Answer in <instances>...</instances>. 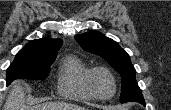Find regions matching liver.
<instances>
[{
  "mask_svg": "<svg viewBox=\"0 0 171 110\" xmlns=\"http://www.w3.org/2000/svg\"><path fill=\"white\" fill-rule=\"evenodd\" d=\"M4 110H85V108L66 102H46L33 107L27 106L24 87L18 80L12 84V89L4 104Z\"/></svg>",
  "mask_w": 171,
  "mask_h": 110,
  "instance_id": "6515ba94",
  "label": "liver"
}]
</instances>
